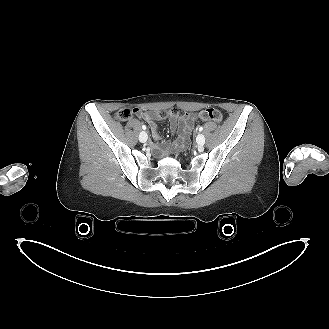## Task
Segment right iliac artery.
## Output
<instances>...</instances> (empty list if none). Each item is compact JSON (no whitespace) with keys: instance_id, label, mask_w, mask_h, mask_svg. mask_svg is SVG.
Segmentation results:
<instances>
[{"instance_id":"82829eb1","label":"right iliac artery","mask_w":329,"mask_h":329,"mask_svg":"<svg viewBox=\"0 0 329 329\" xmlns=\"http://www.w3.org/2000/svg\"><path fill=\"white\" fill-rule=\"evenodd\" d=\"M146 128H147V127H146L145 125H142V129H143V130H146Z\"/></svg>"}]
</instances>
